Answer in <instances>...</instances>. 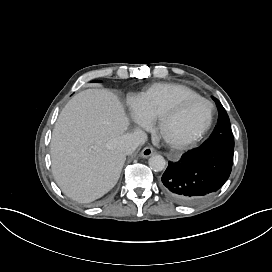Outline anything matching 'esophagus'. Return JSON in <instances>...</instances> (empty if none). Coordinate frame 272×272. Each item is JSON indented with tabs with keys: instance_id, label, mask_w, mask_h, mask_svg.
Here are the masks:
<instances>
[{
	"instance_id": "esophagus-1",
	"label": "esophagus",
	"mask_w": 272,
	"mask_h": 272,
	"mask_svg": "<svg viewBox=\"0 0 272 272\" xmlns=\"http://www.w3.org/2000/svg\"><path fill=\"white\" fill-rule=\"evenodd\" d=\"M155 153V149L153 147H145L141 151V156L144 158H147L149 156H152Z\"/></svg>"
}]
</instances>
